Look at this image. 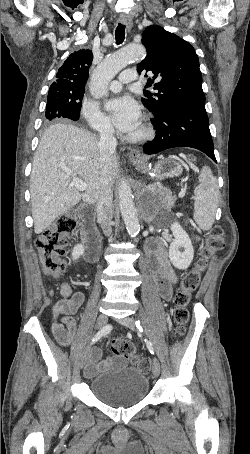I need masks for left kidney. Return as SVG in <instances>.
<instances>
[{
    "mask_svg": "<svg viewBox=\"0 0 250 454\" xmlns=\"http://www.w3.org/2000/svg\"><path fill=\"white\" fill-rule=\"evenodd\" d=\"M170 229L174 240L169 247V259L174 267L185 270L190 266L194 257L192 242L178 222H173Z\"/></svg>",
    "mask_w": 250,
    "mask_h": 454,
    "instance_id": "5707ae66",
    "label": "left kidney"
}]
</instances>
